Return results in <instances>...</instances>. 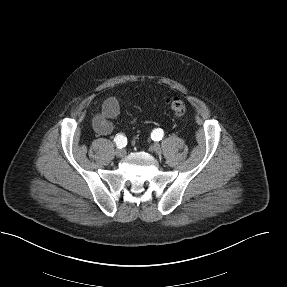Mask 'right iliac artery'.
Instances as JSON below:
<instances>
[{"instance_id":"82829eb1","label":"right iliac artery","mask_w":287,"mask_h":287,"mask_svg":"<svg viewBox=\"0 0 287 287\" xmlns=\"http://www.w3.org/2000/svg\"><path fill=\"white\" fill-rule=\"evenodd\" d=\"M114 141L118 148H123L127 145V138L122 134H117Z\"/></svg>"}]
</instances>
